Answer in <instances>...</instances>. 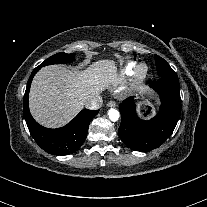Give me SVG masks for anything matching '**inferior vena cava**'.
Wrapping results in <instances>:
<instances>
[{"label":"inferior vena cava","mask_w":207,"mask_h":207,"mask_svg":"<svg viewBox=\"0 0 207 207\" xmlns=\"http://www.w3.org/2000/svg\"><path fill=\"white\" fill-rule=\"evenodd\" d=\"M102 104H103V100H102L101 96H95V97L89 99L85 103V107L87 109L96 110V109L101 108Z\"/></svg>","instance_id":"obj_1"}]
</instances>
